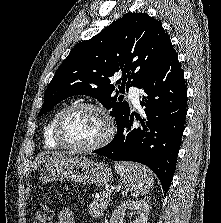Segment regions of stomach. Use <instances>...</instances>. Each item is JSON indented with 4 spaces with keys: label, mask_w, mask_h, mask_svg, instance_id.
<instances>
[{
    "label": "stomach",
    "mask_w": 221,
    "mask_h": 223,
    "mask_svg": "<svg viewBox=\"0 0 221 223\" xmlns=\"http://www.w3.org/2000/svg\"><path fill=\"white\" fill-rule=\"evenodd\" d=\"M112 178L111 169L86 157H65L48 162L41 169L40 181L47 182L69 180L81 184L104 185Z\"/></svg>",
    "instance_id": "1"
}]
</instances>
